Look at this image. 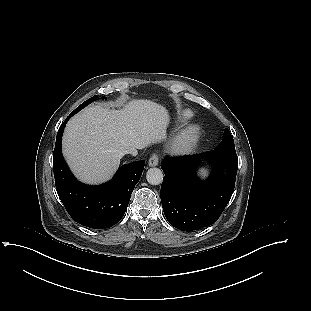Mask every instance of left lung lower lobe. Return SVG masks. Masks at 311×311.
<instances>
[{
    "label": "left lung lower lobe",
    "instance_id": "left-lung-lower-lobe-1",
    "mask_svg": "<svg viewBox=\"0 0 311 311\" xmlns=\"http://www.w3.org/2000/svg\"><path fill=\"white\" fill-rule=\"evenodd\" d=\"M200 157L214 165L206 181L198 180L195 174ZM161 168L165 173L160 192L164 214L172 226L188 232L209 226L220 217L233 194L238 159L236 154L210 151L167 157Z\"/></svg>",
    "mask_w": 311,
    "mask_h": 311
}]
</instances>
